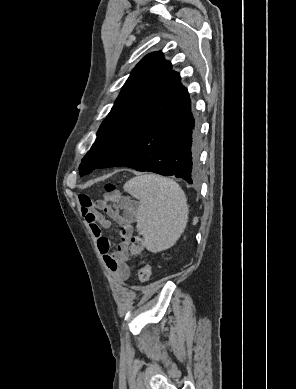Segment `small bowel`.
<instances>
[{"label":"small bowel","mask_w":296,"mask_h":389,"mask_svg":"<svg viewBox=\"0 0 296 389\" xmlns=\"http://www.w3.org/2000/svg\"><path fill=\"white\" fill-rule=\"evenodd\" d=\"M81 213L88 223L97 241V247L102 255L106 268L119 281L127 280L132 268L127 264L128 244L131 235V224L137 213V206L129 199L118 201L108 198L92 200L85 195L79 197ZM116 222L119 226L120 241L113 250L109 239L103 234V229Z\"/></svg>","instance_id":"1"}]
</instances>
